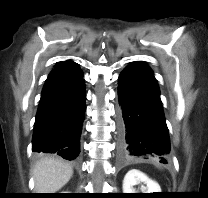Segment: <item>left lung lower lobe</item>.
Wrapping results in <instances>:
<instances>
[{
    "mask_svg": "<svg viewBox=\"0 0 208 198\" xmlns=\"http://www.w3.org/2000/svg\"><path fill=\"white\" fill-rule=\"evenodd\" d=\"M118 95L120 156L159 157L166 163L170 140L152 70L141 61L129 64L119 76Z\"/></svg>",
    "mask_w": 208,
    "mask_h": 198,
    "instance_id": "0a47b994",
    "label": "left lung lower lobe"
}]
</instances>
